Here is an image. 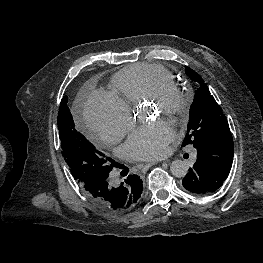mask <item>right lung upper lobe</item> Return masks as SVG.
Returning <instances> with one entry per match:
<instances>
[{"mask_svg": "<svg viewBox=\"0 0 263 263\" xmlns=\"http://www.w3.org/2000/svg\"><path fill=\"white\" fill-rule=\"evenodd\" d=\"M137 193H133V195L131 196L132 199L130 200V202L124 204L122 207L118 208V209H115L112 211V213H123V212H126L128 210H130L131 208H133L139 197H140V194L142 192V187H139V189L136 191Z\"/></svg>", "mask_w": 263, "mask_h": 263, "instance_id": "1", "label": "right lung upper lobe"}]
</instances>
